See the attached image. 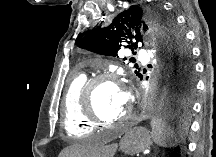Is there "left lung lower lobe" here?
Instances as JSON below:
<instances>
[{
	"label": "left lung lower lobe",
	"mask_w": 216,
	"mask_h": 157,
	"mask_svg": "<svg viewBox=\"0 0 216 157\" xmlns=\"http://www.w3.org/2000/svg\"><path fill=\"white\" fill-rule=\"evenodd\" d=\"M194 90L195 81L186 86H181L175 82L172 74L166 82V92L169 102L167 109L163 113V117L172 122L174 126L173 130L179 134H183L187 129V117L190 112Z\"/></svg>",
	"instance_id": "0a47b994"
}]
</instances>
